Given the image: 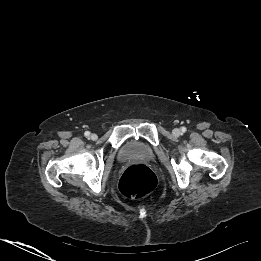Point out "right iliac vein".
I'll use <instances>...</instances> for the list:
<instances>
[{
	"label": "right iliac vein",
	"mask_w": 261,
	"mask_h": 261,
	"mask_svg": "<svg viewBox=\"0 0 261 261\" xmlns=\"http://www.w3.org/2000/svg\"><path fill=\"white\" fill-rule=\"evenodd\" d=\"M90 138H91V140H93V141H94V140H96V139H97V135L93 133V134H91Z\"/></svg>",
	"instance_id": "obj_1"
}]
</instances>
